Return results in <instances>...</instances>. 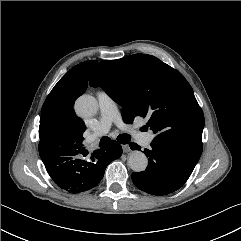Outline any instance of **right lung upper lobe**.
<instances>
[{"mask_svg":"<svg viewBox=\"0 0 241 241\" xmlns=\"http://www.w3.org/2000/svg\"><path fill=\"white\" fill-rule=\"evenodd\" d=\"M97 61H87L74 66L54 86L47 96L39 126V152L63 155L82 149V133L86 126L76 116L75 99L87 89L91 71Z\"/></svg>","mask_w":241,"mask_h":241,"instance_id":"right-lung-upper-lobe-1","label":"right lung upper lobe"}]
</instances>
